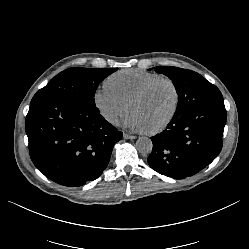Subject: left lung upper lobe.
I'll use <instances>...</instances> for the list:
<instances>
[{"mask_svg":"<svg viewBox=\"0 0 249 249\" xmlns=\"http://www.w3.org/2000/svg\"><path fill=\"white\" fill-rule=\"evenodd\" d=\"M154 69L168 76L176 88L178 105L175 117L202 105L224 102L219 89L194 71L170 66H157Z\"/></svg>","mask_w":249,"mask_h":249,"instance_id":"obj_1","label":"left lung upper lobe"}]
</instances>
